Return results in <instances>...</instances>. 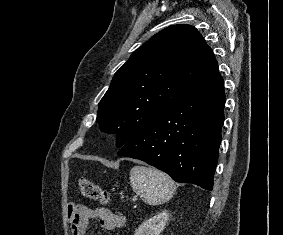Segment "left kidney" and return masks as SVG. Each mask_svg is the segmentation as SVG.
I'll use <instances>...</instances> for the list:
<instances>
[{"label":"left kidney","mask_w":283,"mask_h":235,"mask_svg":"<svg viewBox=\"0 0 283 235\" xmlns=\"http://www.w3.org/2000/svg\"><path fill=\"white\" fill-rule=\"evenodd\" d=\"M169 215L166 212H161L143 222L134 235H160L164 230L168 221Z\"/></svg>","instance_id":"left-kidney-1"}]
</instances>
